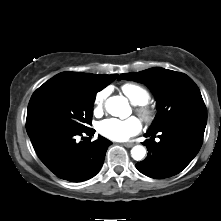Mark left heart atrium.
Returning a JSON list of instances; mask_svg holds the SVG:
<instances>
[{
	"label": "left heart atrium",
	"mask_w": 221,
	"mask_h": 221,
	"mask_svg": "<svg viewBox=\"0 0 221 221\" xmlns=\"http://www.w3.org/2000/svg\"><path fill=\"white\" fill-rule=\"evenodd\" d=\"M98 132L114 141H126L141 130V123L135 117L128 119L109 118L101 121L97 126Z\"/></svg>",
	"instance_id": "1"
}]
</instances>
